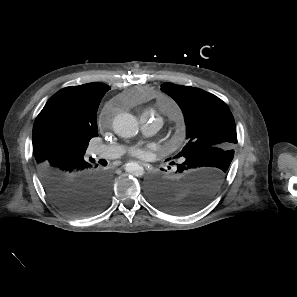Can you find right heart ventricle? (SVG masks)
I'll list each match as a JSON object with an SVG mask.
<instances>
[{"instance_id":"obj_1","label":"right heart ventricle","mask_w":297,"mask_h":297,"mask_svg":"<svg viewBox=\"0 0 297 297\" xmlns=\"http://www.w3.org/2000/svg\"><path fill=\"white\" fill-rule=\"evenodd\" d=\"M171 103L169 101H162L159 103V108L164 112L167 113L169 111Z\"/></svg>"}]
</instances>
